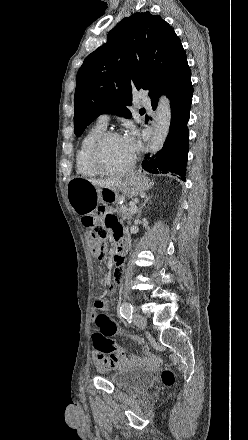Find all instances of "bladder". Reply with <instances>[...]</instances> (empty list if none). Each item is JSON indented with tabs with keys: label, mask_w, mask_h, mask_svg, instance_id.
Listing matches in <instances>:
<instances>
[{
	"label": "bladder",
	"mask_w": 248,
	"mask_h": 440,
	"mask_svg": "<svg viewBox=\"0 0 248 440\" xmlns=\"http://www.w3.org/2000/svg\"><path fill=\"white\" fill-rule=\"evenodd\" d=\"M107 378L118 388H144L152 384L150 370L142 367L121 366L108 372Z\"/></svg>",
	"instance_id": "obj_1"
}]
</instances>
